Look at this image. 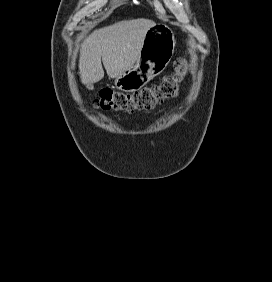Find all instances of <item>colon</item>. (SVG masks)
Returning a JSON list of instances; mask_svg holds the SVG:
<instances>
[{"label": "colon", "mask_w": 272, "mask_h": 282, "mask_svg": "<svg viewBox=\"0 0 272 282\" xmlns=\"http://www.w3.org/2000/svg\"><path fill=\"white\" fill-rule=\"evenodd\" d=\"M189 60L185 56L174 61V72L161 80L134 93H122L110 88H103L94 100L95 104L105 110H118L128 113L137 110H149L167 99L176 97L178 86L188 71Z\"/></svg>", "instance_id": "5ec220e1"}]
</instances>
